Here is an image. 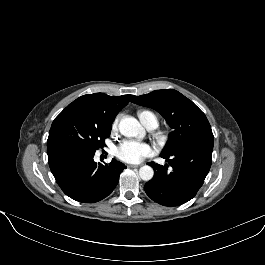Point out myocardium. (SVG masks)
Instances as JSON below:
<instances>
[{
    "instance_id": "1",
    "label": "myocardium",
    "mask_w": 265,
    "mask_h": 265,
    "mask_svg": "<svg viewBox=\"0 0 265 265\" xmlns=\"http://www.w3.org/2000/svg\"><path fill=\"white\" fill-rule=\"evenodd\" d=\"M155 138L159 144L163 145L166 142L168 136L165 132H158Z\"/></svg>"
}]
</instances>
